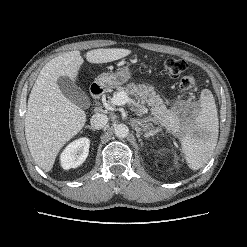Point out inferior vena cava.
Listing matches in <instances>:
<instances>
[{
  "mask_svg": "<svg viewBox=\"0 0 247 247\" xmlns=\"http://www.w3.org/2000/svg\"><path fill=\"white\" fill-rule=\"evenodd\" d=\"M108 122V117L104 114L96 113L91 117L90 123L94 129H102Z\"/></svg>",
  "mask_w": 247,
  "mask_h": 247,
  "instance_id": "1",
  "label": "inferior vena cava"
}]
</instances>
